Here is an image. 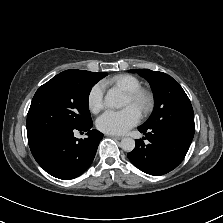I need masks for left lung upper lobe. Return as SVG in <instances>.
Returning <instances> with one entry per match:
<instances>
[{
  "label": "left lung upper lobe",
  "instance_id": "1",
  "mask_svg": "<svg viewBox=\"0 0 223 223\" xmlns=\"http://www.w3.org/2000/svg\"><path fill=\"white\" fill-rule=\"evenodd\" d=\"M151 85L155 106L149 119L140 127H167L194 133V112L183 88L171 76L149 69H135Z\"/></svg>",
  "mask_w": 223,
  "mask_h": 223
}]
</instances>
